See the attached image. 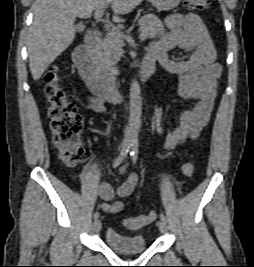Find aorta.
<instances>
[{"label": "aorta", "instance_id": "1", "mask_svg": "<svg viewBox=\"0 0 254 267\" xmlns=\"http://www.w3.org/2000/svg\"><path fill=\"white\" fill-rule=\"evenodd\" d=\"M130 114L128 138L131 141H137L140 129V117L142 110L141 89L138 81H133L130 87Z\"/></svg>", "mask_w": 254, "mask_h": 267}]
</instances>
